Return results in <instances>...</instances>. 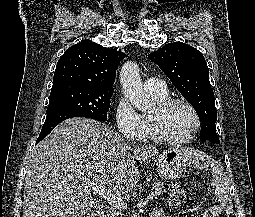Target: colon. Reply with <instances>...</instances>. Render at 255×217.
I'll return each instance as SVG.
<instances>
[{"label":"colon","instance_id":"colon-1","mask_svg":"<svg viewBox=\"0 0 255 217\" xmlns=\"http://www.w3.org/2000/svg\"><path fill=\"white\" fill-rule=\"evenodd\" d=\"M186 192L179 184H173L170 190V202L174 206H180L186 201Z\"/></svg>","mask_w":255,"mask_h":217}]
</instances>
